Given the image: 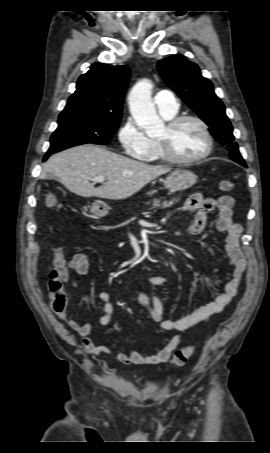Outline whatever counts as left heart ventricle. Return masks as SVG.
Wrapping results in <instances>:
<instances>
[{
    "instance_id": "left-heart-ventricle-1",
    "label": "left heart ventricle",
    "mask_w": 270,
    "mask_h": 453,
    "mask_svg": "<svg viewBox=\"0 0 270 453\" xmlns=\"http://www.w3.org/2000/svg\"><path fill=\"white\" fill-rule=\"evenodd\" d=\"M169 138L172 151L181 158H193L206 147V139L201 127L195 122H184L172 133L164 128L158 139Z\"/></svg>"
}]
</instances>
